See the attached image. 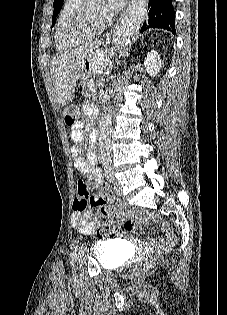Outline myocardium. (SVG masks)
Returning <instances> with one entry per match:
<instances>
[{"label": "myocardium", "mask_w": 227, "mask_h": 315, "mask_svg": "<svg viewBox=\"0 0 227 315\" xmlns=\"http://www.w3.org/2000/svg\"><path fill=\"white\" fill-rule=\"evenodd\" d=\"M88 1L81 0L73 14L69 18L65 33L69 40L79 41L82 38L93 37L106 27V22L94 23L89 19Z\"/></svg>", "instance_id": "myocardium-1"}]
</instances>
